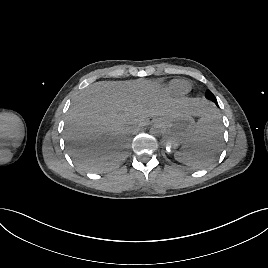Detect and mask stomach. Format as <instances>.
Returning <instances> with one entry per match:
<instances>
[{
  "instance_id": "obj_1",
  "label": "stomach",
  "mask_w": 268,
  "mask_h": 268,
  "mask_svg": "<svg viewBox=\"0 0 268 268\" xmlns=\"http://www.w3.org/2000/svg\"><path fill=\"white\" fill-rule=\"evenodd\" d=\"M155 123L163 130L171 147L182 145L195 131L196 124L191 114L181 113L172 117H160Z\"/></svg>"
}]
</instances>
